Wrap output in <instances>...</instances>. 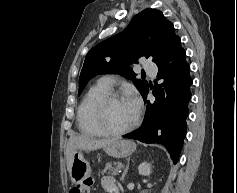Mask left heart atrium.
I'll list each match as a JSON object with an SVG mask.
<instances>
[{
    "instance_id": "obj_1",
    "label": "left heart atrium",
    "mask_w": 237,
    "mask_h": 193,
    "mask_svg": "<svg viewBox=\"0 0 237 193\" xmlns=\"http://www.w3.org/2000/svg\"><path fill=\"white\" fill-rule=\"evenodd\" d=\"M131 102L136 109L139 107V101L137 98L132 99Z\"/></svg>"
}]
</instances>
